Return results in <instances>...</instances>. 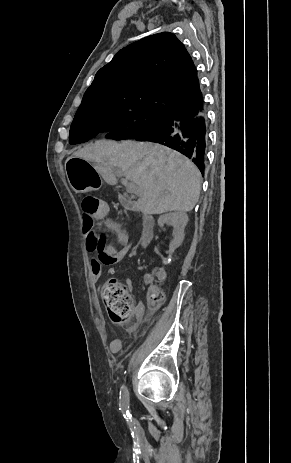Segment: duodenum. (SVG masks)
<instances>
[{
	"label": "duodenum",
	"instance_id": "1",
	"mask_svg": "<svg viewBox=\"0 0 291 463\" xmlns=\"http://www.w3.org/2000/svg\"><path fill=\"white\" fill-rule=\"evenodd\" d=\"M119 200L121 204L127 208L131 209L133 212H136L139 209V206L136 203H133L130 198L124 194H119ZM155 220L149 215H144L142 220V231L140 237V244L142 247L147 246L154 236Z\"/></svg>",
	"mask_w": 291,
	"mask_h": 463
}]
</instances>
